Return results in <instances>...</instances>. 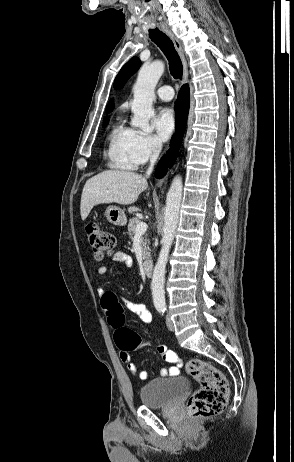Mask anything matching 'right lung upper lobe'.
Returning <instances> with one entry per match:
<instances>
[{
    "label": "right lung upper lobe",
    "mask_w": 294,
    "mask_h": 462,
    "mask_svg": "<svg viewBox=\"0 0 294 462\" xmlns=\"http://www.w3.org/2000/svg\"><path fill=\"white\" fill-rule=\"evenodd\" d=\"M113 108H114V103H113V100H111L109 102V104L107 105V107H106V111L111 112L113 110Z\"/></svg>",
    "instance_id": "1"
}]
</instances>
